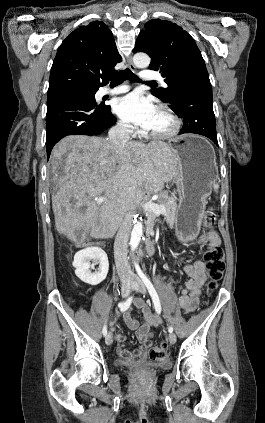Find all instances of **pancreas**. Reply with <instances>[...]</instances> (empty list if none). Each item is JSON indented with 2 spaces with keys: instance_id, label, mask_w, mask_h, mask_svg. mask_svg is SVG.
<instances>
[{
  "instance_id": "cf45deb5",
  "label": "pancreas",
  "mask_w": 265,
  "mask_h": 423,
  "mask_svg": "<svg viewBox=\"0 0 265 423\" xmlns=\"http://www.w3.org/2000/svg\"><path fill=\"white\" fill-rule=\"evenodd\" d=\"M157 203L159 205H163L166 208V212L164 213V218L167 224L170 227H173L175 224V215H176L175 199L169 196L167 192H161L159 194ZM146 217H147V221H146L147 230L150 231L153 228L156 215L154 213L149 212L146 214Z\"/></svg>"
}]
</instances>
